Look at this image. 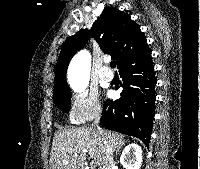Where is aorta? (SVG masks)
I'll use <instances>...</instances> for the list:
<instances>
[{
	"label": "aorta",
	"instance_id": "762f6f07",
	"mask_svg": "<svg viewBox=\"0 0 200 169\" xmlns=\"http://www.w3.org/2000/svg\"><path fill=\"white\" fill-rule=\"evenodd\" d=\"M91 56L86 50L78 52L71 60L68 68V81L77 92L85 90L89 82Z\"/></svg>",
	"mask_w": 200,
	"mask_h": 169
}]
</instances>
